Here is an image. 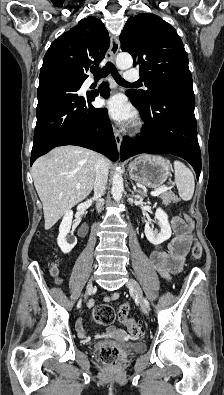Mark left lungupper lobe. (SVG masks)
Segmentation results:
<instances>
[{
    "instance_id": "5c2ea615",
    "label": "left lung upper lobe",
    "mask_w": 224,
    "mask_h": 395,
    "mask_svg": "<svg viewBox=\"0 0 224 395\" xmlns=\"http://www.w3.org/2000/svg\"><path fill=\"white\" fill-rule=\"evenodd\" d=\"M122 51L129 52L140 66L146 91L130 93L150 104L175 93H193L188 56L176 30L159 16L142 13L130 17L120 35Z\"/></svg>"
}]
</instances>
